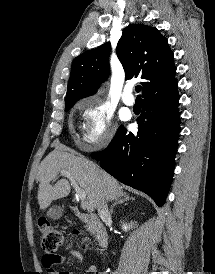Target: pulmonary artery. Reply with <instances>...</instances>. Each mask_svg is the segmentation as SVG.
I'll list each match as a JSON object with an SVG mask.
<instances>
[{"mask_svg":"<svg viewBox=\"0 0 215 274\" xmlns=\"http://www.w3.org/2000/svg\"><path fill=\"white\" fill-rule=\"evenodd\" d=\"M132 86L126 85L122 94V101L127 106H133L135 104V98L132 95Z\"/></svg>","mask_w":215,"mask_h":274,"instance_id":"obj_1","label":"pulmonary artery"}]
</instances>
